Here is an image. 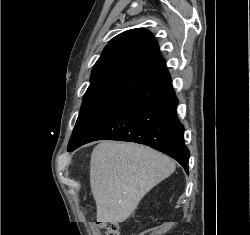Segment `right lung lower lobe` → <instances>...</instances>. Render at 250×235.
<instances>
[{
	"instance_id": "right-lung-lower-lobe-1",
	"label": "right lung lower lobe",
	"mask_w": 250,
	"mask_h": 235,
	"mask_svg": "<svg viewBox=\"0 0 250 235\" xmlns=\"http://www.w3.org/2000/svg\"><path fill=\"white\" fill-rule=\"evenodd\" d=\"M178 99L168 71L133 94L90 129L68 151L95 140L130 141L150 146L179 162L188 173L190 152L176 113Z\"/></svg>"
}]
</instances>
